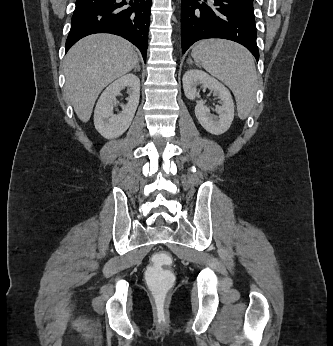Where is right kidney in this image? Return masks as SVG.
I'll use <instances>...</instances> for the list:
<instances>
[{
	"label": "right kidney",
	"mask_w": 333,
	"mask_h": 346,
	"mask_svg": "<svg viewBox=\"0 0 333 346\" xmlns=\"http://www.w3.org/2000/svg\"><path fill=\"white\" fill-rule=\"evenodd\" d=\"M127 88L128 103L122 106V112L113 113L115 98L120 91ZM140 97V80L134 74H127L111 83L101 94L94 111L96 130L107 139L122 135L130 126Z\"/></svg>",
	"instance_id": "ca27d5eb"
}]
</instances>
